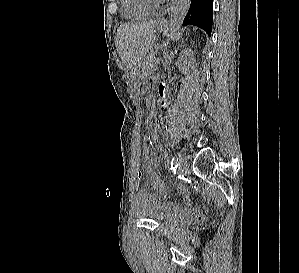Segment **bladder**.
Segmentation results:
<instances>
[{"label": "bladder", "mask_w": 299, "mask_h": 273, "mask_svg": "<svg viewBox=\"0 0 299 273\" xmlns=\"http://www.w3.org/2000/svg\"><path fill=\"white\" fill-rule=\"evenodd\" d=\"M140 216L143 219H148L151 221H154L155 223L159 225H173L176 224L179 220L174 217H168L157 210H155L153 207H148L147 209L140 210Z\"/></svg>", "instance_id": "31cf9c89"}]
</instances>
